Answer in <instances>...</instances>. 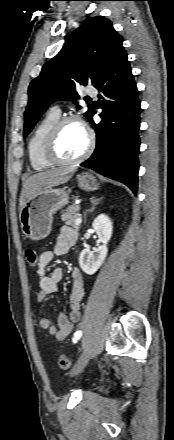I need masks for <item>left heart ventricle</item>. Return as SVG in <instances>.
I'll use <instances>...</instances> for the list:
<instances>
[{"label": "left heart ventricle", "mask_w": 174, "mask_h": 440, "mask_svg": "<svg viewBox=\"0 0 174 440\" xmlns=\"http://www.w3.org/2000/svg\"><path fill=\"white\" fill-rule=\"evenodd\" d=\"M87 142V134L82 126L75 122L68 123L58 138V154L64 159H74L85 150Z\"/></svg>", "instance_id": "left-heart-ventricle-1"}]
</instances>
